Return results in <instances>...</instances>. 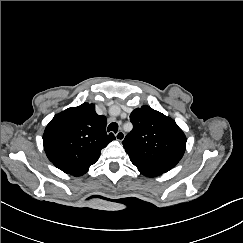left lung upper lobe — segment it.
Listing matches in <instances>:
<instances>
[{"label": "left lung upper lobe", "mask_w": 243, "mask_h": 243, "mask_svg": "<svg viewBox=\"0 0 243 243\" xmlns=\"http://www.w3.org/2000/svg\"><path fill=\"white\" fill-rule=\"evenodd\" d=\"M132 131L123 146L130 159L146 164L175 167L186 149V137L170 117L142 106L130 115Z\"/></svg>", "instance_id": "5c2ea615"}]
</instances>
